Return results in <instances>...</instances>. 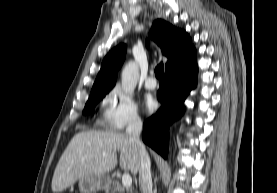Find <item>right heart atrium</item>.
<instances>
[{
  "label": "right heart atrium",
  "mask_w": 277,
  "mask_h": 193,
  "mask_svg": "<svg viewBox=\"0 0 277 193\" xmlns=\"http://www.w3.org/2000/svg\"><path fill=\"white\" fill-rule=\"evenodd\" d=\"M112 104L105 115V123L113 130H124L141 124L142 119L133 99L119 89L110 93Z\"/></svg>",
  "instance_id": "obj_1"
}]
</instances>
